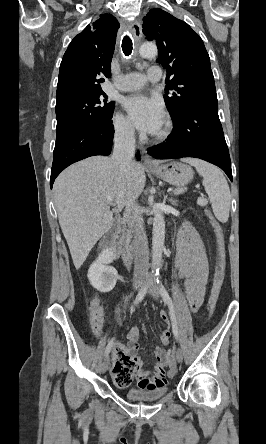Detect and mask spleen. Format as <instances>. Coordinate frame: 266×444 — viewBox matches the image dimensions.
I'll list each match as a JSON object with an SVG mask.
<instances>
[{"instance_id": "spleen-1", "label": "spleen", "mask_w": 266, "mask_h": 444, "mask_svg": "<svg viewBox=\"0 0 266 444\" xmlns=\"http://www.w3.org/2000/svg\"><path fill=\"white\" fill-rule=\"evenodd\" d=\"M183 162L194 166L203 177V186L212 204L216 218L225 223L229 218L231 195L226 178L219 168L197 158H183Z\"/></svg>"}]
</instances>
